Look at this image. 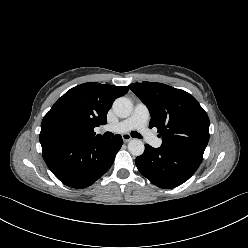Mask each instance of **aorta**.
<instances>
[{"label":"aorta","mask_w":248,"mask_h":248,"mask_svg":"<svg viewBox=\"0 0 248 248\" xmlns=\"http://www.w3.org/2000/svg\"><path fill=\"white\" fill-rule=\"evenodd\" d=\"M113 110L120 118L130 116L133 110L132 102L126 97H119L113 102ZM144 143L140 139H133L128 143V150L134 156H140L144 152Z\"/></svg>","instance_id":"1"}]
</instances>
